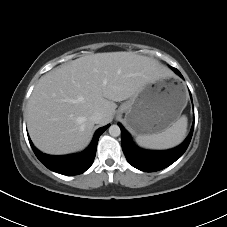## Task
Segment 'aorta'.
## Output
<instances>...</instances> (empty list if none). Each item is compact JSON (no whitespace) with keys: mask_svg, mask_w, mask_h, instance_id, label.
Returning <instances> with one entry per match:
<instances>
[{"mask_svg":"<svg viewBox=\"0 0 227 227\" xmlns=\"http://www.w3.org/2000/svg\"><path fill=\"white\" fill-rule=\"evenodd\" d=\"M109 134L112 137H118L121 134L120 127L118 125H111L109 127Z\"/></svg>","mask_w":227,"mask_h":227,"instance_id":"762f6f07","label":"aorta"}]
</instances>
